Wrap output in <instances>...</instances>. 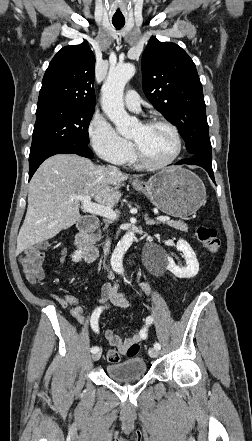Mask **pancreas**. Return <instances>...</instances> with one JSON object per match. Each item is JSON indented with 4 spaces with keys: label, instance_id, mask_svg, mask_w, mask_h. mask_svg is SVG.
Here are the masks:
<instances>
[{
    "label": "pancreas",
    "instance_id": "obj_1",
    "mask_svg": "<svg viewBox=\"0 0 252 441\" xmlns=\"http://www.w3.org/2000/svg\"><path fill=\"white\" fill-rule=\"evenodd\" d=\"M166 224L170 227H173L177 230H180L182 232L188 231V226L182 221H167ZM101 238V233L99 232L97 235L94 236V240H99Z\"/></svg>",
    "mask_w": 252,
    "mask_h": 441
}]
</instances>
